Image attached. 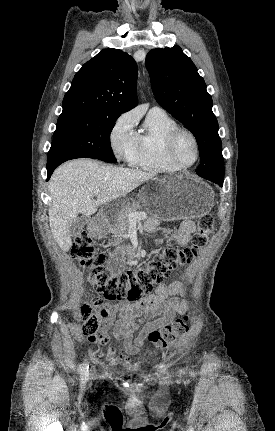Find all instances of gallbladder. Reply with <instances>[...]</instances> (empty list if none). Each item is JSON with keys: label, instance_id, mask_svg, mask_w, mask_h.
<instances>
[{"label": "gallbladder", "instance_id": "bac80fb5", "mask_svg": "<svg viewBox=\"0 0 275 431\" xmlns=\"http://www.w3.org/2000/svg\"><path fill=\"white\" fill-rule=\"evenodd\" d=\"M89 218L86 216H78L72 223L69 229V235L76 237L80 234L82 228L88 223Z\"/></svg>", "mask_w": 275, "mask_h": 431}]
</instances>
